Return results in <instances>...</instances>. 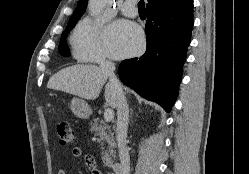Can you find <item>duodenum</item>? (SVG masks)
Here are the masks:
<instances>
[{"label":"duodenum","instance_id":"1","mask_svg":"<svg viewBox=\"0 0 249 174\" xmlns=\"http://www.w3.org/2000/svg\"><path fill=\"white\" fill-rule=\"evenodd\" d=\"M112 168V171L114 174H121L122 173V168H121V165L118 164V163H115L111 166Z\"/></svg>","mask_w":249,"mask_h":174}]
</instances>
